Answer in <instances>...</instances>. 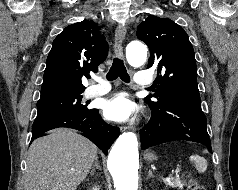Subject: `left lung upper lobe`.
Masks as SVG:
<instances>
[{"label": "left lung upper lobe", "mask_w": 238, "mask_h": 190, "mask_svg": "<svg viewBox=\"0 0 238 190\" xmlns=\"http://www.w3.org/2000/svg\"><path fill=\"white\" fill-rule=\"evenodd\" d=\"M136 35L149 47L148 68L156 67L158 75L156 100L150 95L145 102L150 107L176 100L201 102L195 54L184 29L168 18L150 15L138 26Z\"/></svg>", "instance_id": "left-lung-upper-lobe-1"}]
</instances>
